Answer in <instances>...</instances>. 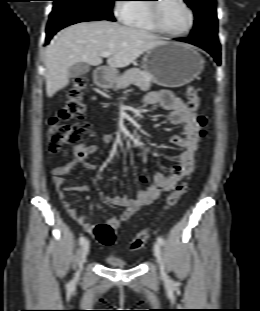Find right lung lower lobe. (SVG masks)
I'll list each match as a JSON object with an SVG mask.
<instances>
[{"label":"right lung lower lobe","mask_w":260,"mask_h":311,"mask_svg":"<svg viewBox=\"0 0 260 311\" xmlns=\"http://www.w3.org/2000/svg\"><path fill=\"white\" fill-rule=\"evenodd\" d=\"M96 20H104L95 16H87V15H79V14H71V13H61L58 15H50L49 22L47 25V36L45 43H49L52 36L59 31L60 29L75 24L79 22L85 21H96Z\"/></svg>","instance_id":"obj_1"}]
</instances>
